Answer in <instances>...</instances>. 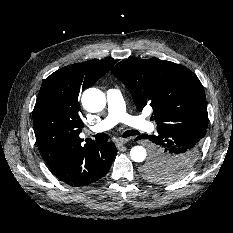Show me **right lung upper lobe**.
Listing matches in <instances>:
<instances>
[{
    "mask_svg": "<svg viewBox=\"0 0 233 233\" xmlns=\"http://www.w3.org/2000/svg\"><path fill=\"white\" fill-rule=\"evenodd\" d=\"M115 64L113 60H90L63 67L42 84L33 110V125L40 153L52 172L79 152L94 145L83 141L78 96Z\"/></svg>",
    "mask_w": 233,
    "mask_h": 233,
    "instance_id": "obj_1",
    "label": "right lung upper lobe"
}]
</instances>
